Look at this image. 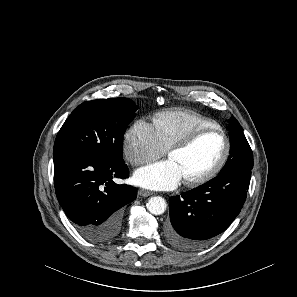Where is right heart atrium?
Instances as JSON below:
<instances>
[{"mask_svg": "<svg viewBox=\"0 0 297 297\" xmlns=\"http://www.w3.org/2000/svg\"><path fill=\"white\" fill-rule=\"evenodd\" d=\"M123 151L133 166L150 163L166 153L157 139L153 124L145 120H137L126 130Z\"/></svg>", "mask_w": 297, "mask_h": 297, "instance_id": "right-heart-atrium-1", "label": "right heart atrium"}]
</instances>
